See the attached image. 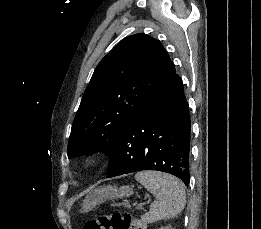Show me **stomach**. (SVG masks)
<instances>
[{
    "instance_id": "obj_1",
    "label": "stomach",
    "mask_w": 261,
    "mask_h": 229,
    "mask_svg": "<svg viewBox=\"0 0 261 229\" xmlns=\"http://www.w3.org/2000/svg\"><path fill=\"white\" fill-rule=\"evenodd\" d=\"M133 187H98V189H93L88 199L93 205H101V203H106V201H113V199H123V197H130L133 195Z\"/></svg>"
}]
</instances>
